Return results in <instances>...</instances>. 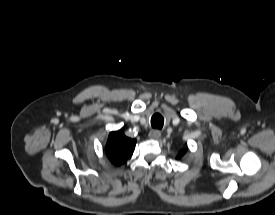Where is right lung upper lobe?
<instances>
[{
  "label": "right lung upper lobe",
  "instance_id": "1",
  "mask_svg": "<svg viewBox=\"0 0 275 215\" xmlns=\"http://www.w3.org/2000/svg\"><path fill=\"white\" fill-rule=\"evenodd\" d=\"M136 140L130 139L122 131H114L109 134L106 144V154L115 165H121L133 154Z\"/></svg>",
  "mask_w": 275,
  "mask_h": 215
}]
</instances>
